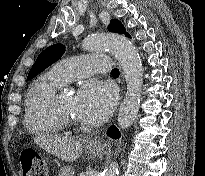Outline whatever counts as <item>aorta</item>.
I'll use <instances>...</instances> for the list:
<instances>
[{"instance_id":"obj_1","label":"aorta","mask_w":205,"mask_h":176,"mask_svg":"<svg viewBox=\"0 0 205 176\" xmlns=\"http://www.w3.org/2000/svg\"><path fill=\"white\" fill-rule=\"evenodd\" d=\"M83 47L88 51L108 49L118 59L127 83V93L119 109L118 126L121 129L130 127L138 114L143 86V68L138 51L126 37L114 33L91 35L84 40ZM118 173L117 163H112L105 176H117Z\"/></svg>"}]
</instances>
